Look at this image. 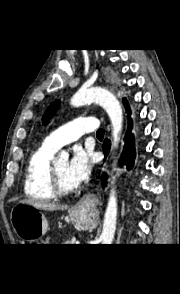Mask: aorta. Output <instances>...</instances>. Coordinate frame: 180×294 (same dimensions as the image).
Here are the masks:
<instances>
[{
    "instance_id": "1",
    "label": "aorta",
    "mask_w": 180,
    "mask_h": 294,
    "mask_svg": "<svg viewBox=\"0 0 180 294\" xmlns=\"http://www.w3.org/2000/svg\"><path fill=\"white\" fill-rule=\"evenodd\" d=\"M97 103L107 112L112 126V146L115 150L118 147L120 135L123 126V112L117 98L109 91L93 87L89 89H80L71 99V105L79 107L89 103ZM60 160L67 161L69 154L66 151L60 152ZM117 221V197L114 188H112L104 216L102 228V244H112Z\"/></svg>"
}]
</instances>
